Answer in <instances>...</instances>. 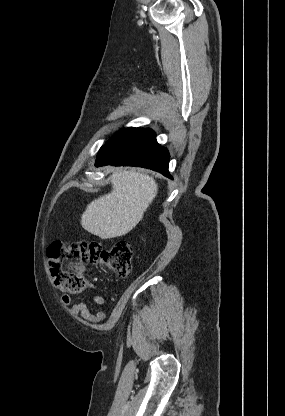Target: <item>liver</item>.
<instances>
[{
	"instance_id": "obj_1",
	"label": "liver",
	"mask_w": 285,
	"mask_h": 416,
	"mask_svg": "<svg viewBox=\"0 0 285 416\" xmlns=\"http://www.w3.org/2000/svg\"><path fill=\"white\" fill-rule=\"evenodd\" d=\"M112 192L88 204L81 226L101 240L118 238L131 232L157 196L152 176L134 170H116L109 178Z\"/></svg>"
}]
</instances>
